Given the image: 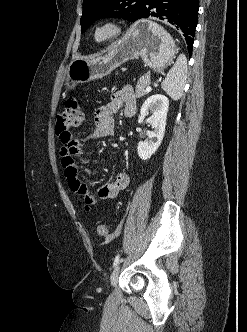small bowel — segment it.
Instances as JSON below:
<instances>
[{"label": "small bowel", "instance_id": "1", "mask_svg": "<svg viewBox=\"0 0 247 332\" xmlns=\"http://www.w3.org/2000/svg\"><path fill=\"white\" fill-rule=\"evenodd\" d=\"M121 108L126 117H131L136 112V98L131 87L126 86L115 92L110 102L100 106L95 111L94 122L96 127L91 135L82 139V142L86 143L93 139L112 137L115 133L113 115ZM91 154L92 150L86 151L82 144L76 140H74L73 144H63L60 151L61 163L69 189L80 197L87 212L98 215L100 213L99 209L94 208L97 200L117 197L127 187L129 175L126 172H120L111 182L93 192L90 187L82 182L81 172L94 174L95 170L82 169L74 158L77 155H87L89 157Z\"/></svg>", "mask_w": 247, "mask_h": 332}]
</instances>
